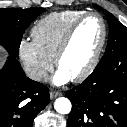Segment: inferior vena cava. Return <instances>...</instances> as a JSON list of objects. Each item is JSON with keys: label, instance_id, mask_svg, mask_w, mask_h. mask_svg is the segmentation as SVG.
<instances>
[{"label": "inferior vena cava", "instance_id": "1", "mask_svg": "<svg viewBox=\"0 0 127 127\" xmlns=\"http://www.w3.org/2000/svg\"><path fill=\"white\" fill-rule=\"evenodd\" d=\"M26 74L30 79L34 81H43L48 77V74L45 70L35 68L28 69Z\"/></svg>", "mask_w": 127, "mask_h": 127}]
</instances>
